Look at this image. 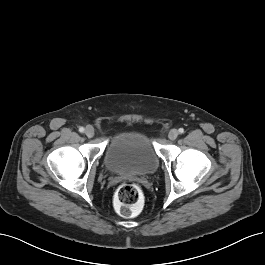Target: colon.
I'll return each instance as SVG.
<instances>
[{
	"label": "colon",
	"mask_w": 265,
	"mask_h": 265,
	"mask_svg": "<svg viewBox=\"0 0 265 265\" xmlns=\"http://www.w3.org/2000/svg\"><path fill=\"white\" fill-rule=\"evenodd\" d=\"M142 202V193L139 186L132 181L121 183L115 194V206L120 215L133 216Z\"/></svg>",
	"instance_id": "obj_1"
}]
</instances>
